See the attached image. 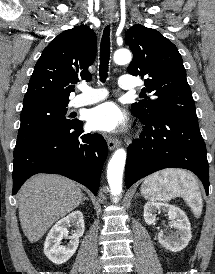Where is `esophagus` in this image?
I'll return each mask as SVG.
<instances>
[{
  "mask_svg": "<svg viewBox=\"0 0 215 274\" xmlns=\"http://www.w3.org/2000/svg\"><path fill=\"white\" fill-rule=\"evenodd\" d=\"M105 19L108 23L112 22L114 20V14L113 13H106ZM107 144H108V148L110 150H114L115 148L120 146L121 142L118 139H115V138H108Z\"/></svg>",
  "mask_w": 215,
  "mask_h": 274,
  "instance_id": "obj_1",
  "label": "esophagus"
}]
</instances>
